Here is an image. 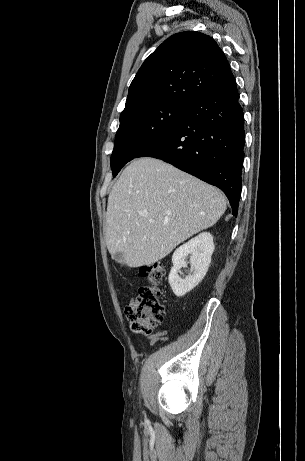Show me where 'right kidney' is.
I'll return each instance as SVG.
<instances>
[{"label":"right kidney","mask_w":305,"mask_h":461,"mask_svg":"<svg viewBox=\"0 0 305 461\" xmlns=\"http://www.w3.org/2000/svg\"><path fill=\"white\" fill-rule=\"evenodd\" d=\"M214 248L213 236L209 232H203L175 250L168 281L177 297L184 296L202 281L208 271ZM189 254L193 271L182 278L179 272L187 267L185 259Z\"/></svg>","instance_id":"obj_1"}]
</instances>
